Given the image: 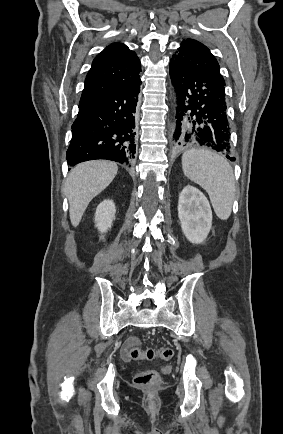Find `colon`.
Returning a JSON list of instances; mask_svg holds the SVG:
<instances>
[{
    "label": "colon",
    "mask_w": 283,
    "mask_h": 434,
    "mask_svg": "<svg viewBox=\"0 0 283 434\" xmlns=\"http://www.w3.org/2000/svg\"><path fill=\"white\" fill-rule=\"evenodd\" d=\"M129 357L133 360L147 359L152 360L158 358L160 360H170L173 356V350L169 347H161L158 349L148 348L142 350L137 346H131L128 351ZM161 381V376L154 370H143L134 377V383L142 387L155 386Z\"/></svg>",
    "instance_id": "1"
}]
</instances>
